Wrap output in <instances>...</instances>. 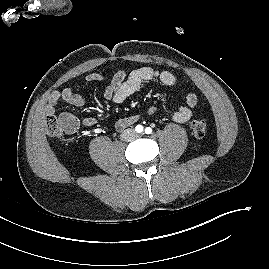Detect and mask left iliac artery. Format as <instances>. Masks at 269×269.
Returning <instances> with one entry per match:
<instances>
[{"label":"left iliac artery","mask_w":269,"mask_h":269,"mask_svg":"<svg viewBox=\"0 0 269 269\" xmlns=\"http://www.w3.org/2000/svg\"><path fill=\"white\" fill-rule=\"evenodd\" d=\"M145 133H146V134H151V133H152V129H151L150 127H147V128L145 129Z\"/></svg>","instance_id":"left-iliac-artery-1"}]
</instances>
